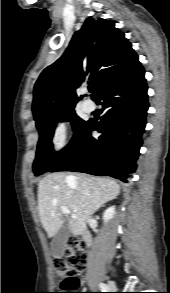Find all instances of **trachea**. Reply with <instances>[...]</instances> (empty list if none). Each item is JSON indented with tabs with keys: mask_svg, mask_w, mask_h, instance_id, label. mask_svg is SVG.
I'll return each instance as SVG.
<instances>
[{
	"mask_svg": "<svg viewBox=\"0 0 170 293\" xmlns=\"http://www.w3.org/2000/svg\"><path fill=\"white\" fill-rule=\"evenodd\" d=\"M89 91L92 92V88H89Z\"/></svg>",
	"mask_w": 170,
	"mask_h": 293,
	"instance_id": "trachea-1",
	"label": "trachea"
}]
</instances>
